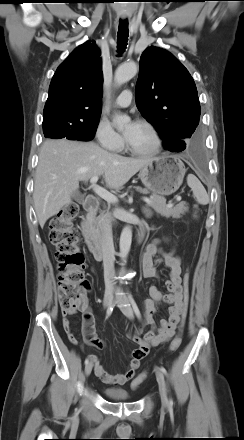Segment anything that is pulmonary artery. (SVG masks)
<instances>
[{
  "label": "pulmonary artery",
  "mask_w": 244,
  "mask_h": 440,
  "mask_svg": "<svg viewBox=\"0 0 244 440\" xmlns=\"http://www.w3.org/2000/svg\"><path fill=\"white\" fill-rule=\"evenodd\" d=\"M132 101V92L130 90H124L117 98V107H128Z\"/></svg>",
  "instance_id": "1"
}]
</instances>
